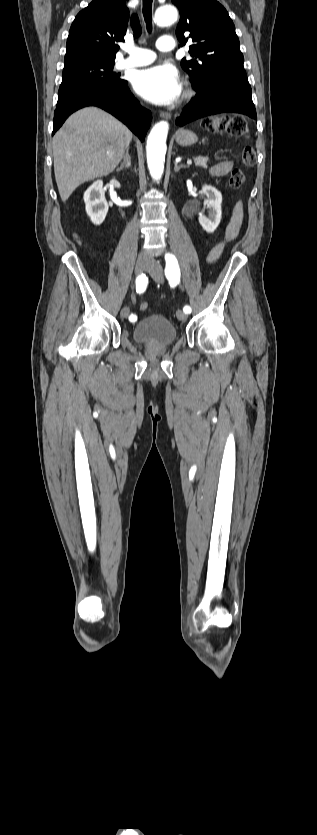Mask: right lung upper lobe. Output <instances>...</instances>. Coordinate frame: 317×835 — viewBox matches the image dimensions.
<instances>
[{
	"label": "right lung upper lobe",
	"instance_id": "cb5924a9",
	"mask_svg": "<svg viewBox=\"0 0 317 835\" xmlns=\"http://www.w3.org/2000/svg\"><path fill=\"white\" fill-rule=\"evenodd\" d=\"M129 10L125 0H94L78 13L73 21L67 44L65 61L95 58L114 62L119 46L124 41ZM134 36L141 28L137 15H132Z\"/></svg>",
	"mask_w": 317,
	"mask_h": 835
}]
</instances>
